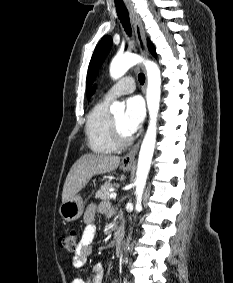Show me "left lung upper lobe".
Instances as JSON below:
<instances>
[{
  "mask_svg": "<svg viewBox=\"0 0 233 283\" xmlns=\"http://www.w3.org/2000/svg\"><path fill=\"white\" fill-rule=\"evenodd\" d=\"M112 45V38L110 36H104L101 41L99 42V44L97 45L91 61H90V65H89V69H88V74H87V81H86V89H87V97L88 99L90 98V91H91V85L92 82L95 78V75L101 65V63L103 62L105 56L108 54L110 47ZM148 47L150 52L156 56L155 53V48L153 46V44L148 41Z\"/></svg>",
  "mask_w": 233,
  "mask_h": 283,
  "instance_id": "obj_1",
  "label": "left lung upper lobe"
}]
</instances>
